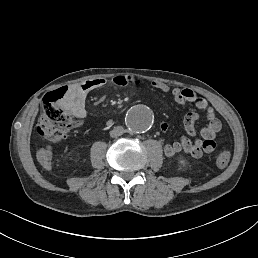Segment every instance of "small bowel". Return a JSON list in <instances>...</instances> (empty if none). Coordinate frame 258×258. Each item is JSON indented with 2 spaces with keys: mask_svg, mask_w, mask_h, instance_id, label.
<instances>
[{
  "mask_svg": "<svg viewBox=\"0 0 258 258\" xmlns=\"http://www.w3.org/2000/svg\"><path fill=\"white\" fill-rule=\"evenodd\" d=\"M140 79L135 76L117 75L112 79V84L117 87L136 86L140 84ZM107 80L96 78L74 84L69 87V93L62 102V107L73 116L83 119L86 117L85 103L89 93L104 87ZM153 87L168 92V85L162 82H153ZM172 95L175 101L180 105L194 104L199 110L206 112L207 125L201 130V139L192 140L196 136V123L199 115L196 112H189L184 118V128L188 136H182L179 140L164 145L163 152L167 157H173L179 153H185L193 158H200L203 154L212 153L215 150V139L221 130V122L215 116L214 110L209 107L207 100L196 95L188 88H174ZM167 123L161 124V129L166 130ZM37 160L40 165L50 170L53 166L52 150L46 146L37 151Z\"/></svg>",
  "mask_w": 258,
  "mask_h": 258,
  "instance_id": "obj_1",
  "label": "small bowel"
}]
</instances>
